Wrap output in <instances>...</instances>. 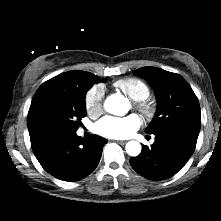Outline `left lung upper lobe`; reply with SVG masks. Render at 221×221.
I'll use <instances>...</instances> for the list:
<instances>
[{"label":"left lung upper lobe","instance_id":"obj_1","mask_svg":"<svg viewBox=\"0 0 221 221\" xmlns=\"http://www.w3.org/2000/svg\"><path fill=\"white\" fill-rule=\"evenodd\" d=\"M134 73L150 83L157 98V111L147 134L176 125L200 131L199 101L182 76L156 67H142Z\"/></svg>","mask_w":221,"mask_h":221}]
</instances>
